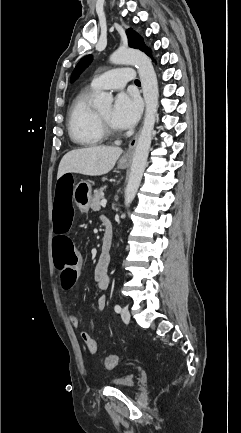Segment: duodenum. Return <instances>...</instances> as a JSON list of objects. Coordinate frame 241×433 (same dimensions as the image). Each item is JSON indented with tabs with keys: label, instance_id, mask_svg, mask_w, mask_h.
Listing matches in <instances>:
<instances>
[{
	"label": "duodenum",
	"instance_id": "obj_1",
	"mask_svg": "<svg viewBox=\"0 0 241 433\" xmlns=\"http://www.w3.org/2000/svg\"><path fill=\"white\" fill-rule=\"evenodd\" d=\"M103 223L105 226V233L102 241L101 252L104 257H107L113 242V226L111 221L107 218L103 220Z\"/></svg>",
	"mask_w": 241,
	"mask_h": 433
}]
</instances>
